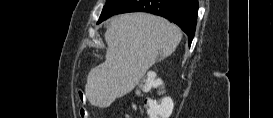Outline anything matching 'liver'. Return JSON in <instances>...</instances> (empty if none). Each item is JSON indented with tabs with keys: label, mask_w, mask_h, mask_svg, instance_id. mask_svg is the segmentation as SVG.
<instances>
[{
	"label": "liver",
	"mask_w": 273,
	"mask_h": 118,
	"mask_svg": "<svg viewBox=\"0 0 273 118\" xmlns=\"http://www.w3.org/2000/svg\"><path fill=\"white\" fill-rule=\"evenodd\" d=\"M181 38L180 29L159 16L135 12L112 18L105 32V61L87 78L89 102L105 108L131 92L157 60L174 52Z\"/></svg>",
	"instance_id": "liver-1"
}]
</instances>
